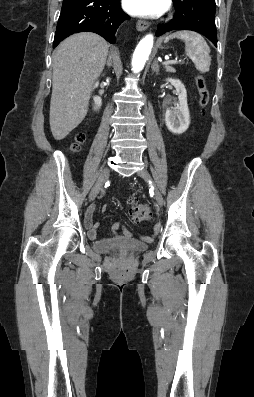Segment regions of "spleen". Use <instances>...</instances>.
Listing matches in <instances>:
<instances>
[{
  "instance_id": "spleen-1",
  "label": "spleen",
  "mask_w": 254,
  "mask_h": 397,
  "mask_svg": "<svg viewBox=\"0 0 254 397\" xmlns=\"http://www.w3.org/2000/svg\"><path fill=\"white\" fill-rule=\"evenodd\" d=\"M174 38L184 41L186 55L193 61L200 73L209 71L211 64L210 48L200 34L187 30L177 31L165 37L164 42Z\"/></svg>"
}]
</instances>
